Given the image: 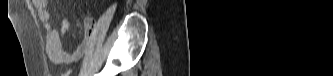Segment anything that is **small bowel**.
<instances>
[{"label":"small bowel","instance_id":"small-bowel-1","mask_svg":"<svg viewBox=\"0 0 333 76\" xmlns=\"http://www.w3.org/2000/svg\"><path fill=\"white\" fill-rule=\"evenodd\" d=\"M38 11L39 19L44 23L46 30V52L50 60L55 64H68L78 60L88 47L95 20L92 17H86L84 20V39L80 45L72 52H65L62 48V37L67 36L70 31V23L63 20L60 29L53 28L50 23V11L46 0L32 1Z\"/></svg>","mask_w":333,"mask_h":76}]
</instances>
